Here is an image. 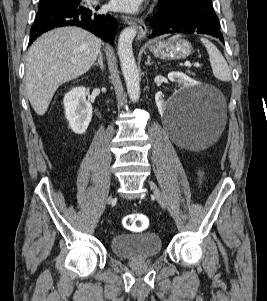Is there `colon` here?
Segmentation results:
<instances>
[{"instance_id":"obj_1","label":"colon","mask_w":267,"mask_h":301,"mask_svg":"<svg viewBox=\"0 0 267 301\" xmlns=\"http://www.w3.org/2000/svg\"><path fill=\"white\" fill-rule=\"evenodd\" d=\"M149 225V219L145 214L132 213L123 219V226L133 232L144 231Z\"/></svg>"}]
</instances>
